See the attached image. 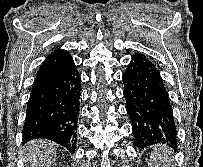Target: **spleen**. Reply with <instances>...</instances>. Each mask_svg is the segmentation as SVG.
Masks as SVG:
<instances>
[{
    "label": "spleen",
    "mask_w": 203,
    "mask_h": 167,
    "mask_svg": "<svg viewBox=\"0 0 203 167\" xmlns=\"http://www.w3.org/2000/svg\"><path fill=\"white\" fill-rule=\"evenodd\" d=\"M171 150L166 146H159L152 153L150 159L152 160L153 167H170L171 159ZM151 167V166H150Z\"/></svg>",
    "instance_id": "obj_1"
}]
</instances>
